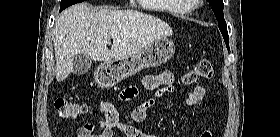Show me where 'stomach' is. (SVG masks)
I'll return each instance as SVG.
<instances>
[{
  "instance_id": "obj_1",
  "label": "stomach",
  "mask_w": 280,
  "mask_h": 137,
  "mask_svg": "<svg viewBox=\"0 0 280 137\" xmlns=\"http://www.w3.org/2000/svg\"><path fill=\"white\" fill-rule=\"evenodd\" d=\"M174 52L173 41L167 38L156 40L132 56L103 62L98 67L96 82L102 87H112L143 69L165 64Z\"/></svg>"
}]
</instances>
